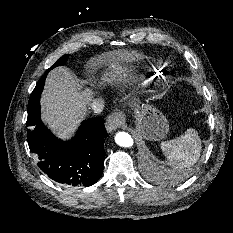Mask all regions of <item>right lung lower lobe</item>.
Returning a JSON list of instances; mask_svg holds the SVG:
<instances>
[{"mask_svg": "<svg viewBox=\"0 0 233 233\" xmlns=\"http://www.w3.org/2000/svg\"><path fill=\"white\" fill-rule=\"evenodd\" d=\"M48 74V73H47ZM47 74H44L30 95L28 107L39 106ZM108 136L100 117L84 120L75 137L64 142L43 124L40 116L27 140L30 151L39 159L38 166L51 179L71 186H91L104 168V140Z\"/></svg>", "mask_w": 233, "mask_h": 233, "instance_id": "obj_1", "label": "right lung lower lobe"}]
</instances>
